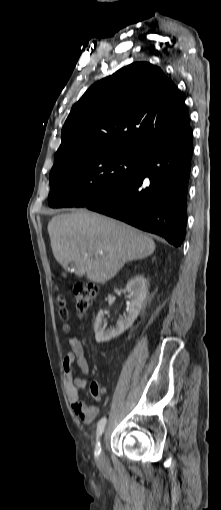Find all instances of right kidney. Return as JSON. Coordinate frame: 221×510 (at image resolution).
Listing matches in <instances>:
<instances>
[{
    "mask_svg": "<svg viewBox=\"0 0 221 510\" xmlns=\"http://www.w3.org/2000/svg\"><path fill=\"white\" fill-rule=\"evenodd\" d=\"M126 291L131 300L128 315L119 320L116 328L106 329L104 324V312L100 310L94 323L95 339L97 343L108 342L118 337L125 330L132 326L137 318L147 294L146 279L143 276H135L126 285Z\"/></svg>",
    "mask_w": 221,
    "mask_h": 510,
    "instance_id": "ca27d5eb",
    "label": "right kidney"
}]
</instances>
